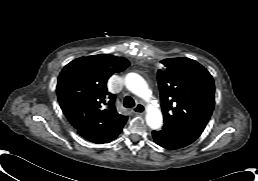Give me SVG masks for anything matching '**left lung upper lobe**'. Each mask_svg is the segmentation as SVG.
Returning <instances> with one entry per match:
<instances>
[{"instance_id":"5c2ea615","label":"left lung upper lobe","mask_w":258,"mask_h":181,"mask_svg":"<svg viewBox=\"0 0 258 181\" xmlns=\"http://www.w3.org/2000/svg\"><path fill=\"white\" fill-rule=\"evenodd\" d=\"M158 71L164 123L201 134L215 104V85L210 73L189 58H168Z\"/></svg>"}]
</instances>
